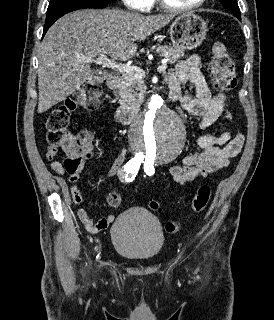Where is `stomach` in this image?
<instances>
[{"mask_svg":"<svg viewBox=\"0 0 274 320\" xmlns=\"http://www.w3.org/2000/svg\"><path fill=\"white\" fill-rule=\"evenodd\" d=\"M206 22L196 14H180L169 28L173 46L180 50H195L207 36Z\"/></svg>","mask_w":274,"mask_h":320,"instance_id":"0dacf381","label":"stomach"}]
</instances>
